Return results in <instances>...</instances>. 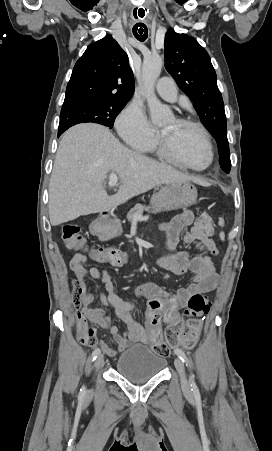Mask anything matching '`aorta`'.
<instances>
[{
	"instance_id": "762f6f07",
	"label": "aorta",
	"mask_w": 272,
	"mask_h": 451,
	"mask_svg": "<svg viewBox=\"0 0 272 451\" xmlns=\"http://www.w3.org/2000/svg\"><path fill=\"white\" fill-rule=\"evenodd\" d=\"M163 64L164 58L154 54V56L144 58L142 66V78L147 92V104L153 124H160L167 116L165 106L156 98L154 92V84L161 74Z\"/></svg>"
}]
</instances>
